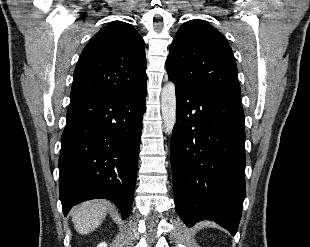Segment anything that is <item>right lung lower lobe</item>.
<instances>
[{
	"instance_id": "1",
	"label": "right lung lower lobe",
	"mask_w": 310,
	"mask_h": 247,
	"mask_svg": "<svg viewBox=\"0 0 310 247\" xmlns=\"http://www.w3.org/2000/svg\"><path fill=\"white\" fill-rule=\"evenodd\" d=\"M146 86L125 94L70 102L59 156V192L72 206L106 198L129 216L146 110Z\"/></svg>"
}]
</instances>
